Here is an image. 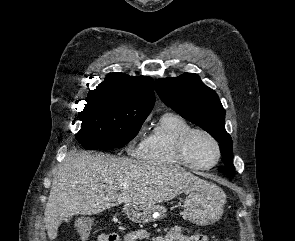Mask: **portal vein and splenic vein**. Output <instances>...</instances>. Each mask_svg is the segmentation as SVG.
<instances>
[{"instance_id": "18ae733b", "label": "portal vein and splenic vein", "mask_w": 295, "mask_h": 241, "mask_svg": "<svg viewBox=\"0 0 295 241\" xmlns=\"http://www.w3.org/2000/svg\"><path fill=\"white\" fill-rule=\"evenodd\" d=\"M119 188H127V185L126 184H120Z\"/></svg>"}]
</instances>
